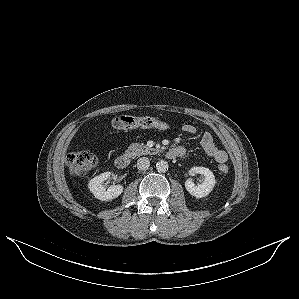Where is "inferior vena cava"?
Returning a JSON list of instances; mask_svg holds the SVG:
<instances>
[{"label":"inferior vena cava","instance_id":"602c4592","mask_svg":"<svg viewBox=\"0 0 299 299\" xmlns=\"http://www.w3.org/2000/svg\"><path fill=\"white\" fill-rule=\"evenodd\" d=\"M150 166V161L147 157H142L137 161V168L139 170H146Z\"/></svg>","mask_w":299,"mask_h":299}]
</instances>
